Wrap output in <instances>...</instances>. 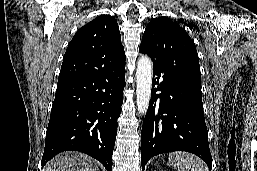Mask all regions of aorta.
Returning <instances> with one entry per match:
<instances>
[{"instance_id": "762f6f07", "label": "aorta", "mask_w": 257, "mask_h": 171, "mask_svg": "<svg viewBox=\"0 0 257 171\" xmlns=\"http://www.w3.org/2000/svg\"><path fill=\"white\" fill-rule=\"evenodd\" d=\"M152 87V61L148 56H141L136 70V104L140 114H145L149 107Z\"/></svg>"}]
</instances>
